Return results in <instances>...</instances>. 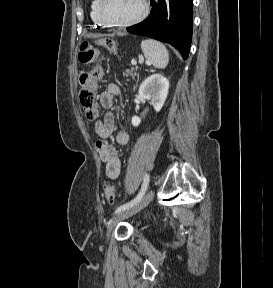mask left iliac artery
I'll return each mask as SVG.
<instances>
[{
    "mask_svg": "<svg viewBox=\"0 0 273 288\" xmlns=\"http://www.w3.org/2000/svg\"><path fill=\"white\" fill-rule=\"evenodd\" d=\"M149 181H150V175L149 174H145L144 176V180H143V184L141 186V189H140V192L138 193V195L133 199L131 200L130 202H127L121 206H119L116 211H115V214L116 213H119L125 209H128L132 206H134L135 204H137L144 196L147 188H148V185H149Z\"/></svg>",
    "mask_w": 273,
    "mask_h": 288,
    "instance_id": "left-iliac-artery-1",
    "label": "left iliac artery"
}]
</instances>
